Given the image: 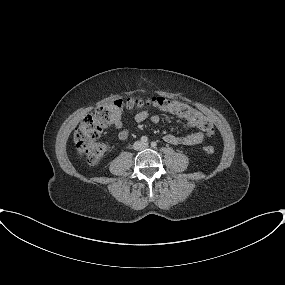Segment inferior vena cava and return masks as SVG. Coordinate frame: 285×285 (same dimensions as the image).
I'll list each match as a JSON object with an SVG mask.
<instances>
[{
	"instance_id": "602c4592",
	"label": "inferior vena cava",
	"mask_w": 285,
	"mask_h": 285,
	"mask_svg": "<svg viewBox=\"0 0 285 285\" xmlns=\"http://www.w3.org/2000/svg\"><path fill=\"white\" fill-rule=\"evenodd\" d=\"M147 146H148L147 143H144V142H142V141H137V142H135V144H134L133 147H134L135 150H143V149H145Z\"/></svg>"
}]
</instances>
